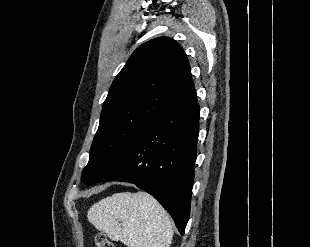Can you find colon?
I'll list each match as a JSON object with an SVG mask.
<instances>
[{
    "instance_id": "obj_1",
    "label": "colon",
    "mask_w": 310,
    "mask_h": 247,
    "mask_svg": "<svg viewBox=\"0 0 310 247\" xmlns=\"http://www.w3.org/2000/svg\"><path fill=\"white\" fill-rule=\"evenodd\" d=\"M94 244L95 247H115L109 238L102 233H99L95 236Z\"/></svg>"
}]
</instances>
